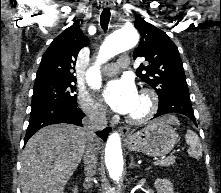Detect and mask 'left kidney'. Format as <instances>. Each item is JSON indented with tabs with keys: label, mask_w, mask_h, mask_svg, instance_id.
Returning <instances> with one entry per match:
<instances>
[{
	"label": "left kidney",
	"mask_w": 221,
	"mask_h": 193,
	"mask_svg": "<svg viewBox=\"0 0 221 193\" xmlns=\"http://www.w3.org/2000/svg\"><path fill=\"white\" fill-rule=\"evenodd\" d=\"M154 185L158 193H174L173 185L168 179H157Z\"/></svg>",
	"instance_id": "1"
}]
</instances>
